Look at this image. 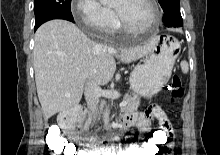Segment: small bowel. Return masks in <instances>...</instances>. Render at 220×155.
<instances>
[{"instance_id": "obj_1", "label": "small bowel", "mask_w": 220, "mask_h": 155, "mask_svg": "<svg viewBox=\"0 0 220 155\" xmlns=\"http://www.w3.org/2000/svg\"><path fill=\"white\" fill-rule=\"evenodd\" d=\"M151 118L157 119L159 123H163L164 124L163 129H167L166 135H168L169 143L160 144V147L164 145L172 146L173 145L172 140H173V135H174L173 129L166 115L159 108V105H148L146 113L125 114L122 117V123H123V126L126 128L136 127L140 130V132L146 134V133H149V125H150ZM146 139L144 140V142H146ZM97 143L104 144L105 142L98 141ZM160 147H158V151L160 150ZM139 152L140 151H136V147H134V145L132 144L125 151H122L115 147L106 149L105 155H140Z\"/></svg>"}]
</instances>
